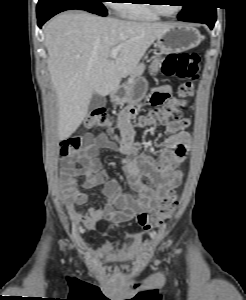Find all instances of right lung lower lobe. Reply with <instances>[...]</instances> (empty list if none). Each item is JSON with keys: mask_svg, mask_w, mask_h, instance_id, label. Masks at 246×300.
I'll return each instance as SVG.
<instances>
[{"mask_svg": "<svg viewBox=\"0 0 246 300\" xmlns=\"http://www.w3.org/2000/svg\"><path fill=\"white\" fill-rule=\"evenodd\" d=\"M71 9L84 10L81 6L77 4H70V3H60V4L49 6L41 12H37L38 26L41 28L42 25L54 15L62 11L71 10Z\"/></svg>", "mask_w": 246, "mask_h": 300, "instance_id": "1", "label": "right lung lower lobe"}]
</instances>
